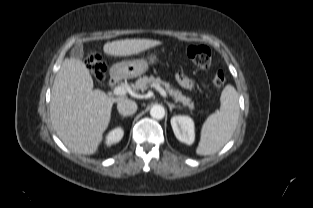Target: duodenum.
I'll return each instance as SVG.
<instances>
[{
    "label": "duodenum",
    "instance_id": "duodenum-1",
    "mask_svg": "<svg viewBox=\"0 0 313 208\" xmlns=\"http://www.w3.org/2000/svg\"><path fill=\"white\" fill-rule=\"evenodd\" d=\"M118 81H119V74L116 70H113L111 75H110V79H109L110 87L115 86Z\"/></svg>",
    "mask_w": 313,
    "mask_h": 208
}]
</instances>
